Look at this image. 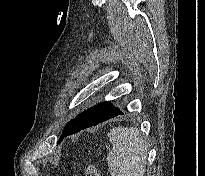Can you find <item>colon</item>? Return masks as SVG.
Here are the masks:
<instances>
[{"mask_svg": "<svg viewBox=\"0 0 205 176\" xmlns=\"http://www.w3.org/2000/svg\"><path fill=\"white\" fill-rule=\"evenodd\" d=\"M82 176H101V174L95 166L87 165Z\"/></svg>", "mask_w": 205, "mask_h": 176, "instance_id": "colon-1", "label": "colon"}]
</instances>
